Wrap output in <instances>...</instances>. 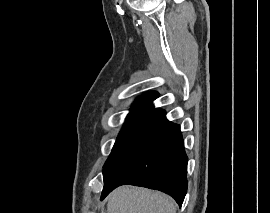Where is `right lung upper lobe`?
I'll use <instances>...</instances> for the list:
<instances>
[{
  "instance_id": "cb5924a9",
  "label": "right lung upper lobe",
  "mask_w": 270,
  "mask_h": 213,
  "mask_svg": "<svg viewBox=\"0 0 270 213\" xmlns=\"http://www.w3.org/2000/svg\"><path fill=\"white\" fill-rule=\"evenodd\" d=\"M159 94L155 91L148 92L136 99L133 107L135 106H148L153 107L152 101L157 98Z\"/></svg>"
}]
</instances>
